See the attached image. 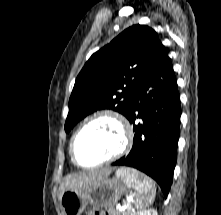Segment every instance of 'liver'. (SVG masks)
Listing matches in <instances>:
<instances>
[{"label": "liver", "instance_id": "obj_1", "mask_svg": "<svg viewBox=\"0 0 221 215\" xmlns=\"http://www.w3.org/2000/svg\"><path fill=\"white\" fill-rule=\"evenodd\" d=\"M111 172L112 169H101L70 175L65 178L60 186L61 195L67 190L88 189L95 185L98 181L107 178L111 174Z\"/></svg>", "mask_w": 221, "mask_h": 215}]
</instances>
